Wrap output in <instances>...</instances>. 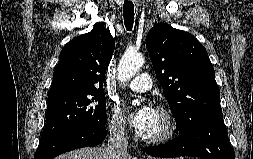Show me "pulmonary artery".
Returning <instances> with one entry per match:
<instances>
[{"label":"pulmonary artery","instance_id":"pulmonary-artery-1","mask_svg":"<svg viewBox=\"0 0 253 159\" xmlns=\"http://www.w3.org/2000/svg\"><path fill=\"white\" fill-rule=\"evenodd\" d=\"M128 86L133 91L145 92L152 88V82L147 73H141L133 78Z\"/></svg>","mask_w":253,"mask_h":159}]
</instances>
